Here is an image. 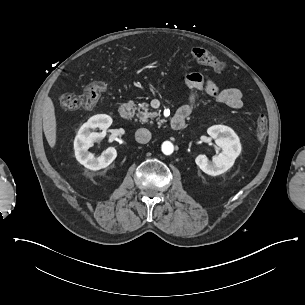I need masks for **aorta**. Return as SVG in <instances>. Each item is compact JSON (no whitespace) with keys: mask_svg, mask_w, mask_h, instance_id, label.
Wrapping results in <instances>:
<instances>
[{"mask_svg":"<svg viewBox=\"0 0 305 305\" xmlns=\"http://www.w3.org/2000/svg\"><path fill=\"white\" fill-rule=\"evenodd\" d=\"M161 149L165 155H171L174 151V146L170 141H165L162 143Z\"/></svg>","mask_w":305,"mask_h":305,"instance_id":"aorta-1","label":"aorta"}]
</instances>
